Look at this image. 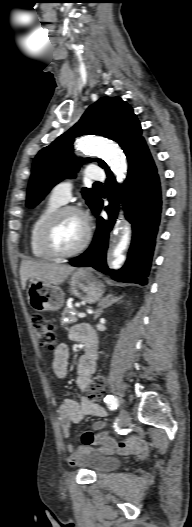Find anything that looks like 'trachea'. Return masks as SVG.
Wrapping results in <instances>:
<instances>
[{"instance_id":"3493384b","label":"trachea","mask_w":192,"mask_h":527,"mask_svg":"<svg viewBox=\"0 0 192 527\" xmlns=\"http://www.w3.org/2000/svg\"><path fill=\"white\" fill-rule=\"evenodd\" d=\"M94 185L101 186L102 184L100 182H95Z\"/></svg>"}]
</instances>
